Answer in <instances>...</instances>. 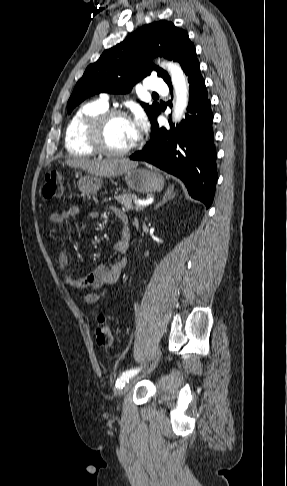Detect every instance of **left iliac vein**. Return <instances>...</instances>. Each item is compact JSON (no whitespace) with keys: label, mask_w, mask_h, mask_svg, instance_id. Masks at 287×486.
Listing matches in <instances>:
<instances>
[{"label":"left iliac vein","mask_w":287,"mask_h":486,"mask_svg":"<svg viewBox=\"0 0 287 486\" xmlns=\"http://www.w3.org/2000/svg\"><path fill=\"white\" fill-rule=\"evenodd\" d=\"M159 357H160V352L158 351L157 352V355H156V359L155 361L153 362V364L151 365V367L149 368V370L147 371V373L151 372L157 365V362L159 360ZM131 382H127L126 385L124 386V388H122V390L120 391V397H124L127 392L129 391L130 387H131Z\"/></svg>","instance_id":"left-iliac-vein-1"}]
</instances>
